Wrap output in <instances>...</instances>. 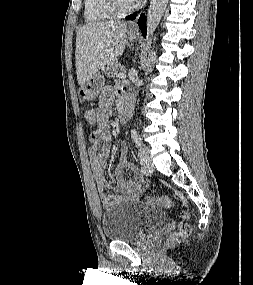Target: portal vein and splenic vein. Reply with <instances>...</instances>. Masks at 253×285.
<instances>
[{"label": "portal vein and splenic vein", "instance_id": "1", "mask_svg": "<svg viewBox=\"0 0 253 285\" xmlns=\"http://www.w3.org/2000/svg\"><path fill=\"white\" fill-rule=\"evenodd\" d=\"M117 78H121V79H125L126 78V74L124 72H120L116 75Z\"/></svg>", "mask_w": 253, "mask_h": 285}]
</instances>
